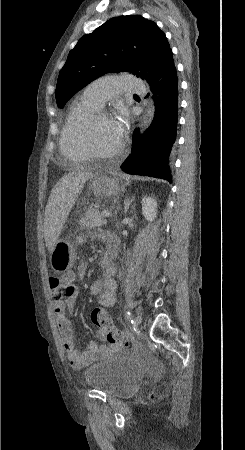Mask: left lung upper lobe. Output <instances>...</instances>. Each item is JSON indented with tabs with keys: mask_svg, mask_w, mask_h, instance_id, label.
<instances>
[{
	"mask_svg": "<svg viewBox=\"0 0 245 450\" xmlns=\"http://www.w3.org/2000/svg\"><path fill=\"white\" fill-rule=\"evenodd\" d=\"M172 58L165 34L140 15L114 17L83 36L69 52L56 87V101L67 100L108 72L128 71L148 80Z\"/></svg>",
	"mask_w": 245,
	"mask_h": 450,
	"instance_id": "5c2ea615",
	"label": "left lung upper lobe"
}]
</instances>
